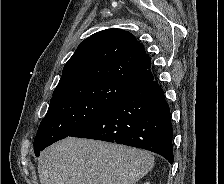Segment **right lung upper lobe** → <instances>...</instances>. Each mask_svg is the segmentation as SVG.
<instances>
[{"label": "right lung upper lobe", "mask_w": 224, "mask_h": 184, "mask_svg": "<svg viewBox=\"0 0 224 184\" xmlns=\"http://www.w3.org/2000/svg\"><path fill=\"white\" fill-rule=\"evenodd\" d=\"M96 80L130 88L154 80L151 60L133 34L107 29L82 41L65 64L53 95L76 84Z\"/></svg>", "instance_id": "1"}]
</instances>
